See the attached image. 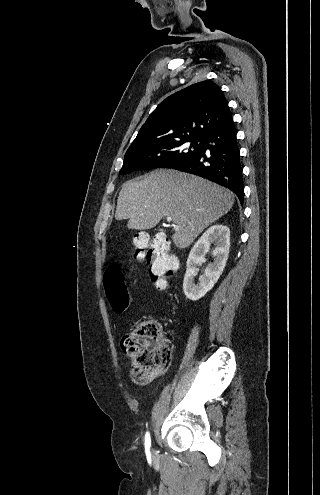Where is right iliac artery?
I'll use <instances>...</instances> for the list:
<instances>
[{"label":"right iliac artery","mask_w":320,"mask_h":495,"mask_svg":"<svg viewBox=\"0 0 320 495\" xmlns=\"http://www.w3.org/2000/svg\"><path fill=\"white\" fill-rule=\"evenodd\" d=\"M150 447H151V439L149 432H147L145 435V448L147 451H149Z\"/></svg>","instance_id":"right-iliac-artery-1"}]
</instances>
